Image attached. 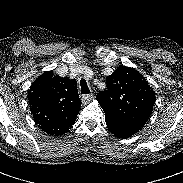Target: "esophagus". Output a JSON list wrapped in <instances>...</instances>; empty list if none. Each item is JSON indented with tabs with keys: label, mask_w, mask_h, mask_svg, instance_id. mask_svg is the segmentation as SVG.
I'll list each match as a JSON object with an SVG mask.
<instances>
[{
	"label": "esophagus",
	"mask_w": 183,
	"mask_h": 183,
	"mask_svg": "<svg viewBox=\"0 0 183 183\" xmlns=\"http://www.w3.org/2000/svg\"><path fill=\"white\" fill-rule=\"evenodd\" d=\"M94 98L93 94H85L82 96V103L87 104Z\"/></svg>",
	"instance_id": "1"
}]
</instances>
